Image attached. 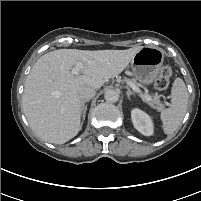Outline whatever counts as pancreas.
Segmentation results:
<instances>
[{
  "instance_id": "pancreas-1",
  "label": "pancreas",
  "mask_w": 201,
  "mask_h": 201,
  "mask_svg": "<svg viewBox=\"0 0 201 201\" xmlns=\"http://www.w3.org/2000/svg\"><path fill=\"white\" fill-rule=\"evenodd\" d=\"M132 86L137 85V80L136 79H127ZM147 103L154 109L157 110H162L163 109V104L159 101L157 96H153L151 100L147 101Z\"/></svg>"
}]
</instances>
